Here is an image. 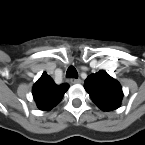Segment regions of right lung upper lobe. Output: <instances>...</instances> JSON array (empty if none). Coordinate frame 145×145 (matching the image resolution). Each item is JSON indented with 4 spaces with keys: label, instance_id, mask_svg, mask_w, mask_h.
<instances>
[{
    "label": "right lung upper lobe",
    "instance_id": "cb5924a9",
    "mask_svg": "<svg viewBox=\"0 0 145 145\" xmlns=\"http://www.w3.org/2000/svg\"><path fill=\"white\" fill-rule=\"evenodd\" d=\"M68 88L67 84L56 85L52 78L44 72L33 86V97L40 110L48 111L62 100Z\"/></svg>",
    "mask_w": 145,
    "mask_h": 145
}]
</instances>
